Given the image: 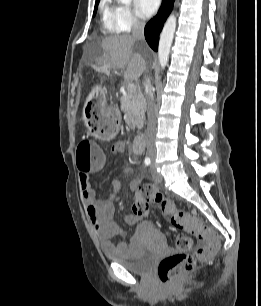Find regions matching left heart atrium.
I'll return each instance as SVG.
<instances>
[{"label":"left heart atrium","instance_id":"39dd6f15","mask_svg":"<svg viewBox=\"0 0 261 306\" xmlns=\"http://www.w3.org/2000/svg\"><path fill=\"white\" fill-rule=\"evenodd\" d=\"M136 11L142 18H148L158 9L160 0H134Z\"/></svg>","mask_w":261,"mask_h":306}]
</instances>
